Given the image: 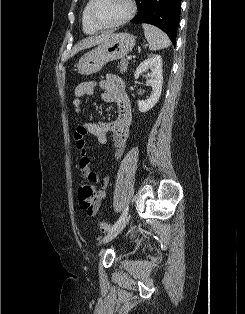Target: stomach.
Instances as JSON below:
<instances>
[{"mask_svg":"<svg viewBox=\"0 0 245 314\" xmlns=\"http://www.w3.org/2000/svg\"><path fill=\"white\" fill-rule=\"evenodd\" d=\"M136 37L130 33H113L95 49L83 55L78 64V73L92 75L114 60L124 58L135 45Z\"/></svg>","mask_w":245,"mask_h":314,"instance_id":"1","label":"stomach"}]
</instances>
